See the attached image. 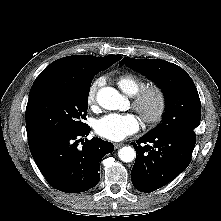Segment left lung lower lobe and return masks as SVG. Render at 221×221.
Wrapping results in <instances>:
<instances>
[{"instance_id": "0a47b994", "label": "left lung lower lobe", "mask_w": 221, "mask_h": 221, "mask_svg": "<svg viewBox=\"0 0 221 221\" xmlns=\"http://www.w3.org/2000/svg\"><path fill=\"white\" fill-rule=\"evenodd\" d=\"M152 145L141 146V143ZM196 140L173 134H146L134 145L136 160L131 171L134 187L153 192L173 181L190 161Z\"/></svg>"}]
</instances>
